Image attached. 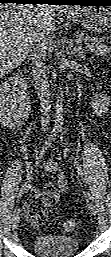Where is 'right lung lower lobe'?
<instances>
[{
	"mask_svg": "<svg viewBox=\"0 0 111 257\" xmlns=\"http://www.w3.org/2000/svg\"><path fill=\"white\" fill-rule=\"evenodd\" d=\"M0 3H17V4H52V0H0Z\"/></svg>",
	"mask_w": 111,
	"mask_h": 257,
	"instance_id": "98d812e1",
	"label": "right lung lower lobe"
}]
</instances>
